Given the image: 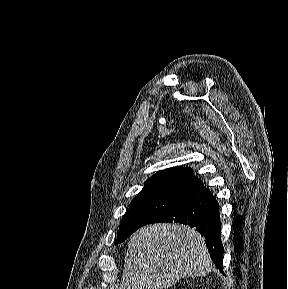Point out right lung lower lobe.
<instances>
[{
  "mask_svg": "<svg viewBox=\"0 0 288 289\" xmlns=\"http://www.w3.org/2000/svg\"><path fill=\"white\" fill-rule=\"evenodd\" d=\"M178 222L195 227L204 237L210 256L222 272L224 248L221 243L219 205L213 194L200 181L185 196L150 223Z\"/></svg>",
  "mask_w": 288,
  "mask_h": 289,
  "instance_id": "right-lung-lower-lobe-1",
  "label": "right lung lower lobe"
}]
</instances>
